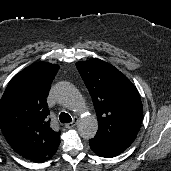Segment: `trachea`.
Returning a JSON list of instances; mask_svg holds the SVG:
<instances>
[{"label": "trachea", "mask_w": 171, "mask_h": 171, "mask_svg": "<svg viewBox=\"0 0 171 171\" xmlns=\"http://www.w3.org/2000/svg\"><path fill=\"white\" fill-rule=\"evenodd\" d=\"M59 120H60L61 123H69V122L72 121V118L68 113L62 112L59 115Z\"/></svg>", "instance_id": "obj_1"}]
</instances>
